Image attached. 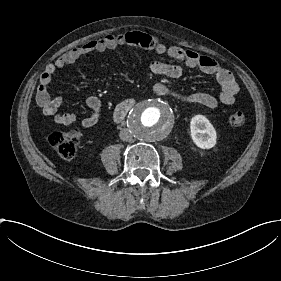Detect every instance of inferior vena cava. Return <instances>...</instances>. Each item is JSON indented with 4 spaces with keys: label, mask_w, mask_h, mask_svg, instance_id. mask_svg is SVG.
Instances as JSON below:
<instances>
[{
    "label": "inferior vena cava",
    "mask_w": 281,
    "mask_h": 281,
    "mask_svg": "<svg viewBox=\"0 0 281 281\" xmlns=\"http://www.w3.org/2000/svg\"><path fill=\"white\" fill-rule=\"evenodd\" d=\"M119 137L122 141L130 142L133 139V134L129 129H122L119 133Z\"/></svg>",
    "instance_id": "602c4592"
}]
</instances>
